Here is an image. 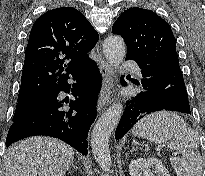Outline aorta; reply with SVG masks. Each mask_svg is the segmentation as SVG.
<instances>
[{"instance_id":"obj_1","label":"aorta","mask_w":205,"mask_h":176,"mask_svg":"<svg viewBox=\"0 0 205 176\" xmlns=\"http://www.w3.org/2000/svg\"><path fill=\"white\" fill-rule=\"evenodd\" d=\"M103 53L107 62L117 67L126 53L124 40L117 35L109 36L103 43ZM123 112V106L113 104L97 121L91 133V147L96 162L107 171L111 167L109 138L117 126Z\"/></svg>"}]
</instances>
